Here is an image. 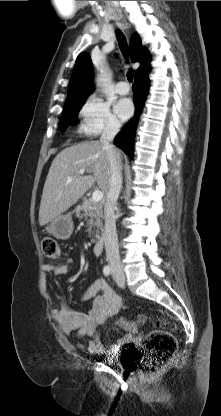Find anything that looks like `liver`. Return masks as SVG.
Here are the masks:
<instances>
[{
  "instance_id": "1",
  "label": "liver",
  "mask_w": 221,
  "mask_h": 416,
  "mask_svg": "<svg viewBox=\"0 0 221 416\" xmlns=\"http://www.w3.org/2000/svg\"><path fill=\"white\" fill-rule=\"evenodd\" d=\"M120 153V151L118 150ZM122 161L121 153L119 157ZM80 170L93 175L80 176ZM68 177L72 180L68 182ZM111 177L107 152L100 141L82 142L57 154L49 169L39 208L44 226L75 204L96 182L106 194Z\"/></svg>"
}]
</instances>
